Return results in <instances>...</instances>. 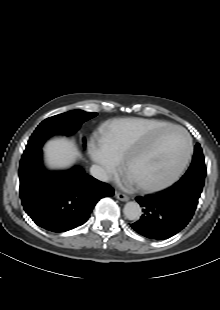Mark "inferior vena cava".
Here are the masks:
<instances>
[{"mask_svg": "<svg viewBox=\"0 0 220 310\" xmlns=\"http://www.w3.org/2000/svg\"><path fill=\"white\" fill-rule=\"evenodd\" d=\"M90 173L94 178L100 181L107 182L109 180V174L99 165H92L90 168Z\"/></svg>", "mask_w": 220, "mask_h": 310, "instance_id": "obj_1", "label": "inferior vena cava"}]
</instances>
